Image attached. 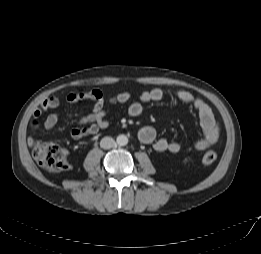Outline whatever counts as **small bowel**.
<instances>
[{"instance_id":"c3829d8e","label":"small bowel","mask_w":261,"mask_h":254,"mask_svg":"<svg viewBox=\"0 0 261 254\" xmlns=\"http://www.w3.org/2000/svg\"><path fill=\"white\" fill-rule=\"evenodd\" d=\"M176 100L193 108L199 117L202 129V138L197 140L190 149L202 151L214 145L220 134L219 124L211 109L192 93L186 90H177L173 93ZM129 92H120L111 96L108 103L111 105H124L131 101ZM165 99V93L159 88L142 91L138 99L129 103L127 113L130 117H138L143 112V104L148 102H161ZM65 101L69 104H75L82 101H92L93 108L91 113L82 116L78 120V125L71 130V136L74 139H80L87 135L97 134L100 130L106 129L109 125L106 119V100L102 91L93 89L89 91L72 92L65 96ZM62 100L57 96H49L33 112V119L30 124L31 131L37 130L41 126V117L45 111L56 110L61 105ZM59 121L58 112L50 113L43 122L46 130H52ZM139 140L144 144H151L155 151L159 153H180L183 147L174 141L165 138H157L156 131L151 126H144L139 131ZM33 140L29 139V144ZM188 149V150H190Z\"/></svg>"}]
</instances>
